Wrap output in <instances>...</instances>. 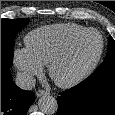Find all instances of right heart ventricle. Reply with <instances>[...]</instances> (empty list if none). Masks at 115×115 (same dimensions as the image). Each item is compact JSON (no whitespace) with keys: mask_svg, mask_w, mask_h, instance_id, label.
Masks as SVG:
<instances>
[{"mask_svg":"<svg viewBox=\"0 0 115 115\" xmlns=\"http://www.w3.org/2000/svg\"><path fill=\"white\" fill-rule=\"evenodd\" d=\"M86 29L75 23L41 26L26 35V49L37 62L47 65L72 37Z\"/></svg>","mask_w":115,"mask_h":115,"instance_id":"e07e8e85","label":"right heart ventricle"}]
</instances>
